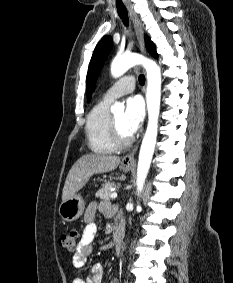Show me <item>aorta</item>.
Here are the masks:
<instances>
[{
    "mask_svg": "<svg viewBox=\"0 0 233 283\" xmlns=\"http://www.w3.org/2000/svg\"><path fill=\"white\" fill-rule=\"evenodd\" d=\"M136 65H142L147 73L146 103L148 111V124L142 140L137 168V190L139 193L143 189L150 169L158 134V118L161 98V71L159 66L153 60L145 58L140 54L129 52L123 55H118L113 59L111 63V74L115 78L120 77L128 69ZM123 110V103L116 102L111 106L112 112Z\"/></svg>",
    "mask_w": 233,
    "mask_h": 283,
    "instance_id": "762f6f07",
    "label": "aorta"
}]
</instances>
